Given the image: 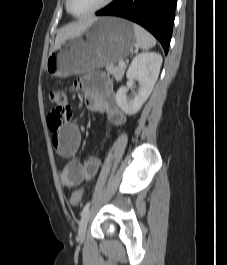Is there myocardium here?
I'll return each instance as SVG.
<instances>
[{
    "label": "myocardium",
    "mask_w": 227,
    "mask_h": 265,
    "mask_svg": "<svg viewBox=\"0 0 227 265\" xmlns=\"http://www.w3.org/2000/svg\"><path fill=\"white\" fill-rule=\"evenodd\" d=\"M112 1L113 0H103L98 6H96L92 10H90V11H88L86 13H83V14H75L70 9V0H66V9L72 16H74L76 18H83V17H87V16H90L92 14H95V13L99 12L100 10L104 9L105 7H107Z\"/></svg>",
    "instance_id": "myocardium-1"
}]
</instances>
